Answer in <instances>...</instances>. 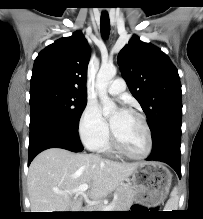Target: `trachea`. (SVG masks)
Returning a JSON list of instances; mask_svg holds the SVG:
<instances>
[{"mask_svg":"<svg viewBox=\"0 0 203 219\" xmlns=\"http://www.w3.org/2000/svg\"><path fill=\"white\" fill-rule=\"evenodd\" d=\"M100 29H101L103 38L105 39L108 38L109 33H110V20L106 12H103L101 15Z\"/></svg>","mask_w":203,"mask_h":219,"instance_id":"1","label":"trachea"}]
</instances>
